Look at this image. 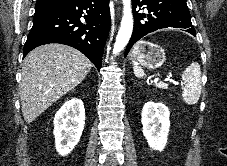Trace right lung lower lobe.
<instances>
[{
	"label": "right lung lower lobe",
	"mask_w": 227,
	"mask_h": 166,
	"mask_svg": "<svg viewBox=\"0 0 227 166\" xmlns=\"http://www.w3.org/2000/svg\"><path fill=\"white\" fill-rule=\"evenodd\" d=\"M84 12L86 23L80 21ZM109 26L108 0H67L50 6L35 12L23 57L40 45L61 43L81 51L100 70Z\"/></svg>",
	"instance_id": "98d812e1"
}]
</instances>
